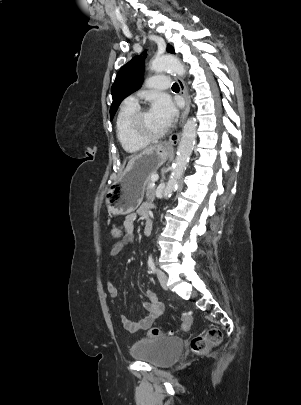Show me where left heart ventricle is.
<instances>
[{
  "instance_id": "1",
  "label": "left heart ventricle",
  "mask_w": 301,
  "mask_h": 405,
  "mask_svg": "<svg viewBox=\"0 0 301 405\" xmlns=\"http://www.w3.org/2000/svg\"><path fill=\"white\" fill-rule=\"evenodd\" d=\"M167 126L151 111H147L142 118V129L148 134H157Z\"/></svg>"
}]
</instances>
